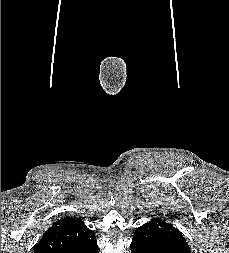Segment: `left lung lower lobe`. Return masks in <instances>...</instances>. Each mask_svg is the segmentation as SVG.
<instances>
[{
	"instance_id": "obj_1",
	"label": "left lung lower lobe",
	"mask_w": 229,
	"mask_h": 253,
	"mask_svg": "<svg viewBox=\"0 0 229 253\" xmlns=\"http://www.w3.org/2000/svg\"><path fill=\"white\" fill-rule=\"evenodd\" d=\"M131 252L132 253H188L187 251L181 250V249L166 250V249L152 248V247H148L143 244L137 243L136 241H133V240L131 243Z\"/></svg>"
}]
</instances>
